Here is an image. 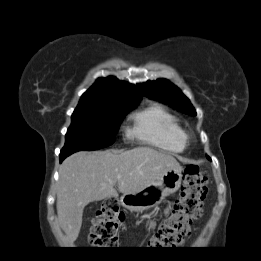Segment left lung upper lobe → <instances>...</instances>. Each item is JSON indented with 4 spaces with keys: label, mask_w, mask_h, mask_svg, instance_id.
I'll use <instances>...</instances> for the list:
<instances>
[{
    "label": "left lung upper lobe",
    "mask_w": 261,
    "mask_h": 261,
    "mask_svg": "<svg viewBox=\"0 0 261 261\" xmlns=\"http://www.w3.org/2000/svg\"><path fill=\"white\" fill-rule=\"evenodd\" d=\"M139 86L143 95L148 98L168 104L170 107L177 109L182 113L192 116L196 115L189 99L182 94L178 87L170 83L168 80L158 79L156 81H147ZM207 158L210 159L209 157Z\"/></svg>",
    "instance_id": "obj_1"
}]
</instances>
